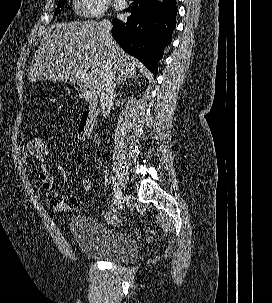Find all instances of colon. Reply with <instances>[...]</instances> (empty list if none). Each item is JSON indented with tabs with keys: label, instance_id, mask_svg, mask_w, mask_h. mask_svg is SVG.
Wrapping results in <instances>:
<instances>
[{
	"label": "colon",
	"instance_id": "colon-1",
	"mask_svg": "<svg viewBox=\"0 0 272 303\" xmlns=\"http://www.w3.org/2000/svg\"><path fill=\"white\" fill-rule=\"evenodd\" d=\"M32 149L34 152L35 158L39 161L40 166L39 169L43 171L49 170L46 163L45 158L49 153V144L48 142L41 136H37L32 138ZM82 186L85 193L88 196H91V183L87 176H83L82 178ZM46 202L48 206L57 212H64L71 210L75 207L76 203L73 198L65 196L64 194L58 191H51L46 194Z\"/></svg>",
	"mask_w": 272,
	"mask_h": 303
}]
</instances>
